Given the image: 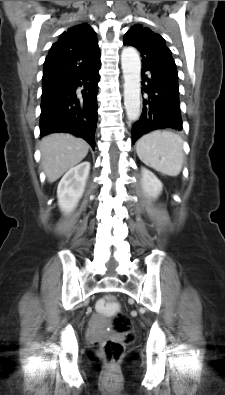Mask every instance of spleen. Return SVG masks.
I'll use <instances>...</instances> for the list:
<instances>
[{"label": "spleen", "mask_w": 225, "mask_h": 395, "mask_svg": "<svg viewBox=\"0 0 225 395\" xmlns=\"http://www.w3.org/2000/svg\"><path fill=\"white\" fill-rule=\"evenodd\" d=\"M137 155L147 166L168 176H177L182 169V138L169 130H156L142 136L136 145Z\"/></svg>", "instance_id": "3e777b00"}]
</instances>
